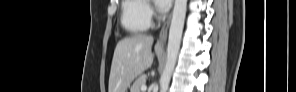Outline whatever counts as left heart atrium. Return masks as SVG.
Masks as SVG:
<instances>
[{
    "label": "left heart atrium",
    "instance_id": "1",
    "mask_svg": "<svg viewBox=\"0 0 296 92\" xmlns=\"http://www.w3.org/2000/svg\"><path fill=\"white\" fill-rule=\"evenodd\" d=\"M170 3H171L170 0H165V1L156 0L155 1V4H156L158 10L161 11V12L167 10V8L169 7Z\"/></svg>",
    "mask_w": 296,
    "mask_h": 92
}]
</instances>
